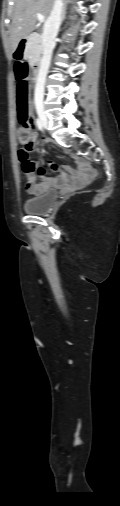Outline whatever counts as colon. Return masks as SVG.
<instances>
[{
    "instance_id": "colon-1",
    "label": "colon",
    "mask_w": 120,
    "mask_h": 506,
    "mask_svg": "<svg viewBox=\"0 0 120 506\" xmlns=\"http://www.w3.org/2000/svg\"><path fill=\"white\" fill-rule=\"evenodd\" d=\"M15 49L11 52V57L15 64L18 65L13 72V77L17 80L16 85V102H17V118L23 127L18 131L17 137L19 142L24 146L20 151L23 157H30V153L34 146V134L31 132V121L29 114V84L27 82L28 67L26 65L27 57L17 58ZM84 167H88L83 164ZM95 173V170H93Z\"/></svg>"
}]
</instances>
